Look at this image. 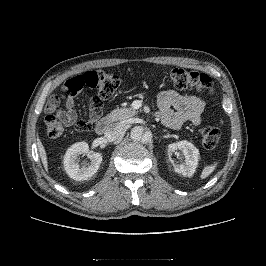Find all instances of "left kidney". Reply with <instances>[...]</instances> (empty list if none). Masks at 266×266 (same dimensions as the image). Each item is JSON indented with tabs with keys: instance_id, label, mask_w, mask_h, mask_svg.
<instances>
[{
	"instance_id": "left-kidney-1",
	"label": "left kidney",
	"mask_w": 266,
	"mask_h": 266,
	"mask_svg": "<svg viewBox=\"0 0 266 266\" xmlns=\"http://www.w3.org/2000/svg\"><path fill=\"white\" fill-rule=\"evenodd\" d=\"M180 150L185 157V162L182 164H174L171 156L174 152ZM167 154L169 160L173 163L174 171L183 176H193L199 160V150L186 140L179 141L168 145Z\"/></svg>"
}]
</instances>
